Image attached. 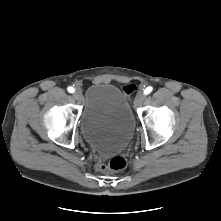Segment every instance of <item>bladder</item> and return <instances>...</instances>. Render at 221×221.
I'll return each mask as SVG.
<instances>
[{"mask_svg":"<svg viewBox=\"0 0 221 221\" xmlns=\"http://www.w3.org/2000/svg\"><path fill=\"white\" fill-rule=\"evenodd\" d=\"M84 140L101 155L122 152L130 143L135 119L125 94L115 85L92 84L79 119Z\"/></svg>","mask_w":221,"mask_h":221,"instance_id":"obj_1","label":"bladder"}]
</instances>
